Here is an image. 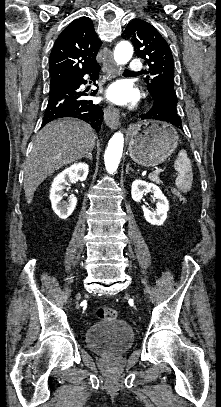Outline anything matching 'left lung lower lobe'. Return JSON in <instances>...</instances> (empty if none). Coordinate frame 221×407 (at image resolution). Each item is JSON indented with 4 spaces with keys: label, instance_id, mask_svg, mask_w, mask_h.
<instances>
[{
    "label": "left lung lower lobe",
    "instance_id": "obj_1",
    "mask_svg": "<svg viewBox=\"0 0 221 407\" xmlns=\"http://www.w3.org/2000/svg\"><path fill=\"white\" fill-rule=\"evenodd\" d=\"M153 99L154 104L151 110L146 114H141L140 118L165 121L182 129L181 118L177 110V98L168 91H162Z\"/></svg>",
    "mask_w": 221,
    "mask_h": 407
}]
</instances>
